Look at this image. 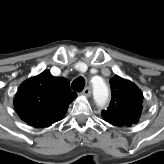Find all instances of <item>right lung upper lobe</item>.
<instances>
[{
    "label": "right lung upper lobe",
    "instance_id": "cb5924a9",
    "mask_svg": "<svg viewBox=\"0 0 164 164\" xmlns=\"http://www.w3.org/2000/svg\"><path fill=\"white\" fill-rule=\"evenodd\" d=\"M67 79L53 77L49 70L26 80L19 87L14 105L22 120L34 127L59 121L77 97Z\"/></svg>",
    "mask_w": 164,
    "mask_h": 164
}]
</instances>
